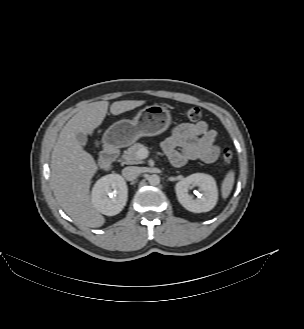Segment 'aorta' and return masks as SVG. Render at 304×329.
<instances>
[{"mask_svg":"<svg viewBox=\"0 0 304 329\" xmlns=\"http://www.w3.org/2000/svg\"><path fill=\"white\" fill-rule=\"evenodd\" d=\"M148 182L150 185L156 186L160 183V177L156 174H152L148 177Z\"/></svg>","mask_w":304,"mask_h":329,"instance_id":"1","label":"aorta"}]
</instances>
